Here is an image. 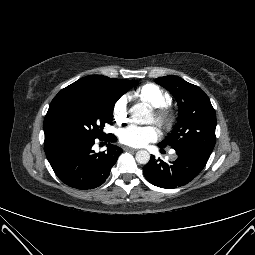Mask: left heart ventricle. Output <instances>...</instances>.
I'll use <instances>...</instances> for the list:
<instances>
[{"instance_id":"1","label":"left heart ventricle","mask_w":255,"mask_h":255,"mask_svg":"<svg viewBox=\"0 0 255 255\" xmlns=\"http://www.w3.org/2000/svg\"><path fill=\"white\" fill-rule=\"evenodd\" d=\"M150 121H153V114H152L151 117H150Z\"/></svg>"}]
</instances>
